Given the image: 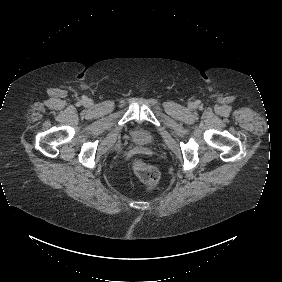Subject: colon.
I'll return each mask as SVG.
<instances>
[{"instance_id": "obj_1", "label": "colon", "mask_w": 282, "mask_h": 282, "mask_svg": "<svg viewBox=\"0 0 282 282\" xmlns=\"http://www.w3.org/2000/svg\"><path fill=\"white\" fill-rule=\"evenodd\" d=\"M131 167L134 169L137 177L147 186H154L159 180L157 170L146 164V160L142 156H135L131 160Z\"/></svg>"}]
</instances>
